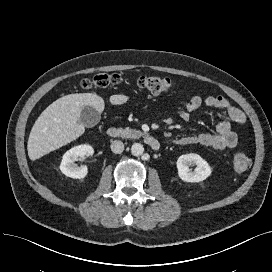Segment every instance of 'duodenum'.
<instances>
[{
    "label": "duodenum",
    "mask_w": 272,
    "mask_h": 272,
    "mask_svg": "<svg viewBox=\"0 0 272 272\" xmlns=\"http://www.w3.org/2000/svg\"><path fill=\"white\" fill-rule=\"evenodd\" d=\"M108 136L112 139H116L120 136V131L116 127H111L108 129L107 132ZM143 141L153 150H159L160 148V143L159 141L154 138L152 135L149 134H143L142 135Z\"/></svg>",
    "instance_id": "410a0bca"
}]
</instances>
